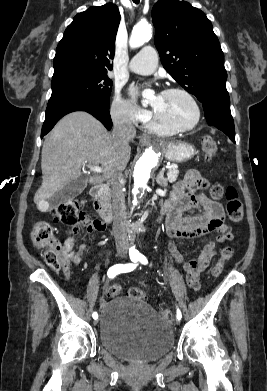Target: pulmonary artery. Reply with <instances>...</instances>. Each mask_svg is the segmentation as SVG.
Masks as SVG:
<instances>
[{
  "label": "pulmonary artery",
  "mask_w": 267,
  "mask_h": 391,
  "mask_svg": "<svg viewBox=\"0 0 267 391\" xmlns=\"http://www.w3.org/2000/svg\"><path fill=\"white\" fill-rule=\"evenodd\" d=\"M158 65V54L155 48L145 46L130 61L129 70L142 75L151 74Z\"/></svg>",
  "instance_id": "e3ab8cb5"
}]
</instances>
